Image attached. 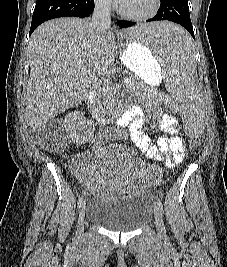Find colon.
Here are the masks:
<instances>
[{"mask_svg": "<svg viewBox=\"0 0 227 267\" xmlns=\"http://www.w3.org/2000/svg\"><path fill=\"white\" fill-rule=\"evenodd\" d=\"M165 112L167 116H177V108L174 104H165ZM37 138L39 142L50 151H60L65 147L66 144V135L63 129L58 125L48 126L41 129L38 132ZM198 142L197 140H191L190 142H185L184 157H182V162H189V158H195L200 153V150L197 149Z\"/></svg>", "mask_w": 227, "mask_h": 267, "instance_id": "colon-1", "label": "colon"}]
</instances>
